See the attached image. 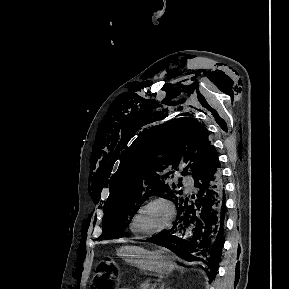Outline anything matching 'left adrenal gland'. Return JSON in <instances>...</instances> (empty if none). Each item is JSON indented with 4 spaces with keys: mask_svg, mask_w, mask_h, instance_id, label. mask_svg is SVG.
Here are the masks:
<instances>
[{
    "mask_svg": "<svg viewBox=\"0 0 289 289\" xmlns=\"http://www.w3.org/2000/svg\"><path fill=\"white\" fill-rule=\"evenodd\" d=\"M159 289H165V283H161L160 288ZM169 289V288H167Z\"/></svg>",
    "mask_w": 289,
    "mask_h": 289,
    "instance_id": "obj_1",
    "label": "left adrenal gland"
}]
</instances>
